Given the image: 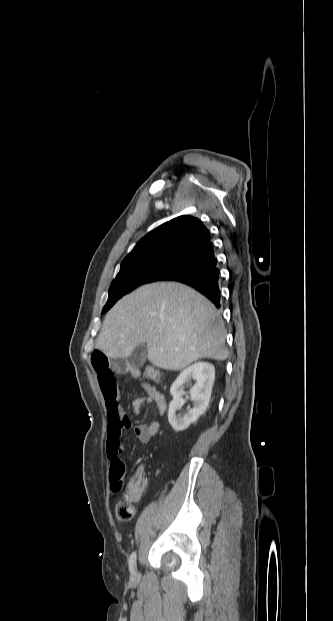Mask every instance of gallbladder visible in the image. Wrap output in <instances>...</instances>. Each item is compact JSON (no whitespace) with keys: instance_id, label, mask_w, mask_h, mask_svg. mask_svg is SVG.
I'll list each match as a JSON object with an SVG mask.
<instances>
[{"instance_id":"obj_1","label":"gallbladder","mask_w":333,"mask_h":621,"mask_svg":"<svg viewBox=\"0 0 333 621\" xmlns=\"http://www.w3.org/2000/svg\"><path fill=\"white\" fill-rule=\"evenodd\" d=\"M147 358V346L145 343L138 345L131 355L129 356V362L134 367H141L144 365Z\"/></svg>"}]
</instances>
